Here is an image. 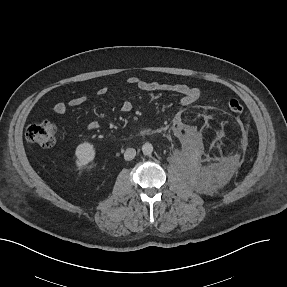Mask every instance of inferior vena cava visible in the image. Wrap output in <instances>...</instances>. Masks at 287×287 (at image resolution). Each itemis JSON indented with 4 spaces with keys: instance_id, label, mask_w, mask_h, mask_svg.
I'll return each mask as SVG.
<instances>
[{
    "instance_id": "1",
    "label": "inferior vena cava",
    "mask_w": 287,
    "mask_h": 287,
    "mask_svg": "<svg viewBox=\"0 0 287 287\" xmlns=\"http://www.w3.org/2000/svg\"><path fill=\"white\" fill-rule=\"evenodd\" d=\"M135 155H136V150L134 148H127L124 152V159L126 161H130L134 159Z\"/></svg>"
}]
</instances>
